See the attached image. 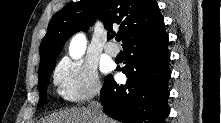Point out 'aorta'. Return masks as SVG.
<instances>
[{"instance_id": "762f6f07", "label": "aorta", "mask_w": 221, "mask_h": 123, "mask_svg": "<svg viewBox=\"0 0 221 123\" xmlns=\"http://www.w3.org/2000/svg\"><path fill=\"white\" fill-rule=\"evenodd\" d=\"M86 48V38L83 34H77L75 35L69 46V54L73 59H78L80 58Z\"/></svg>"}]
</instances>
